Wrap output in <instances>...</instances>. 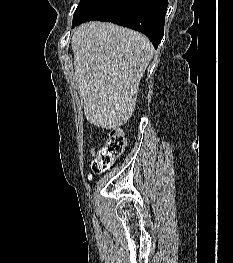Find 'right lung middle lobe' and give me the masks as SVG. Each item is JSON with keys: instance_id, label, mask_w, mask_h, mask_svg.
<instances>
[{"instance_id": "right-lung-middle-lobe-1", "label": "right lung middle lobe", "mask_w": 233, "mask_h": 263, "mask_svg": "<svg viewBox=\"0 0 233 263\" xmlns=\"http://www.w3.org/2000/svg\"><path fill=\"white\" fill-rule=\"evenodd\" d=\"M125 0H81L73 17V23L104 20L111 16Z\"/></svg>"}]
</instances>
